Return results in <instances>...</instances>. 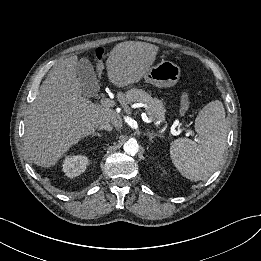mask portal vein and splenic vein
Segmentation results:
<instances>
[{
	"label": "portal vein and splenic vein",
	"mask_w": 261,
	"mask_h": 261,
	"mask_svg": "<svg viewBox=\"0 0 261 261\" xmlns=\"http://www.w3.org/2000/svg\"><path fill=\"white\" fill-rule=\"evenodd\" d=\"M100 103L104 106V107H113V106H115V101H113V100H111V99H109V98H102L101 100H100ZM140 107H144L146 110H147V108H146V106H144V105H142V104H140L139 105ZM147 115H148V117H147ZM145 117H146V122H152V121H154V119H153V117H152V115L150 114V112H148L147 111V114H146V112H145ZM155 125L156 126H158V125H160V121H156L155 122ZM185 128H183V130H184ZM171 130H172V132L174 131V128H171ZM188 134H190L189 132H188Z\"/></svg>",
	"instance_id": "1"
}]
</instances>
